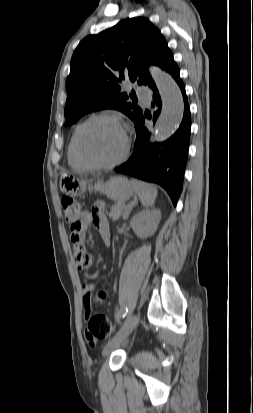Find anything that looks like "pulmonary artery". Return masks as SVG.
I'll return each mask as SVG.
<instances>
[{
  "mask_svg": "<svg viewBox=\"0 0 253 413\" xmlns=\"http://www.w3.org/2000/svg\"><path fill=\"white\" fill-rule=\"evenodd\" d=\"M137 94L144 104H149L151 100V92L146 87H138Z\"/></svg>",
  "mask_w": 253,
  "mask_h": 413,
  "instance_id": "e3ab8cb5",
  "label": "pulmonary artery"
}]
</instances>
